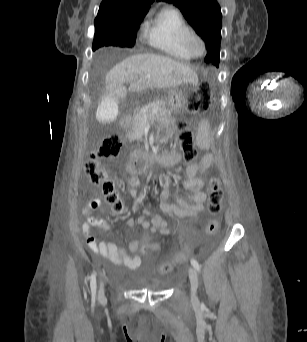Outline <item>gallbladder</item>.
Instances as JSON below:
<instances>
[{
  "label": "gallbladder",
  "instance_id": "1",
  "mask_svg": "<svg viewBox=\"0 0 307 342\" xmlns=\"http://www.w3.org/2000/svg\"><path fill=\"white\" fill-rule=\"evenodd\" d=\"M122 100V95H103L101 103L95 107L98 123H112L113 118L118 114L119 102Z\"/></svg>",
  "mask_w": 307,
  "mask_h": 342
}]
</instances>
